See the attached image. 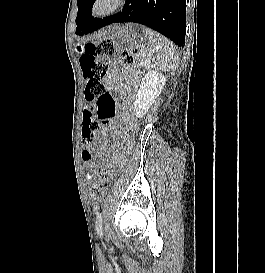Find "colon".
I'll return each instance as SVG.
<instances>
[{
	"label": "colon",
	"mask_w": 265,
	"mask_h": 273,
	"mask_svg": "<svg viewBox=\"0 0 265 273\" xmlns=\"http://www.w3.org/2000/svg\"><path fill=\"white\" fill-rule=\"evenodd\" d=\"M116 52V45L112 37L104 38L98 45H88L84 48L80 58L81 69L86 80L85 98L87 105L83 113L82 136L90 144L89 149L82 153L83 160L89 164L91 174L97 179L91 196L101 195L103 186L112 172L111 164L103 157L97 156L96 151L105 147V142L98 139L99 134L113 120L116 113V104L107 92L104 79L107 65L98 57L112 55ZM137 48L132 46L120 51V62L123 66L132 63ZM105 135V132H102ZM84 142V145H87Z\"/></svg>",
	"instance_id": "colon-1"
}]
</instances>
